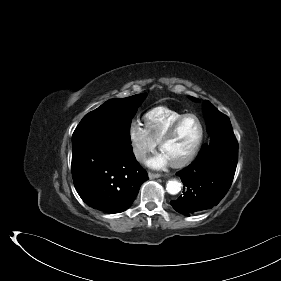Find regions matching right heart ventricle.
<instances>
[{
	"mask_svg": "<svg viewBox=\"0 0 281 281\" xmlns=\"http://www.w3.org/2000/svg\"><path fill=\"white\" fill-rule=\"evenodd\" d=\"M183 114L185 113L158 106L145 113L144 125L151 138L158 143L171 124Z\"/></svg>",
	"mask_w": 281,
	"mask_h": 281,
	"instance_id": "1",
	"label": "right heart ventricle"
}]
</instances>
